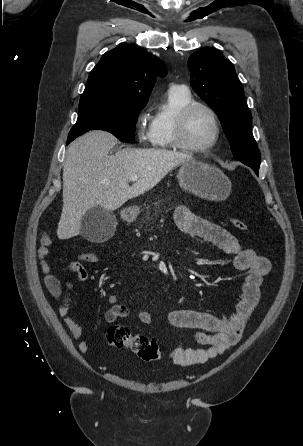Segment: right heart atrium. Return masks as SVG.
Masks as SVG:
<instances>
[{
    "label": "right heart atrium",
    "instance_id": "obj_1",
    "mask_svg": "<svg viewBox=\"0 0 303 446\" xmlns=\"http://www.w3.org/2000/svg\"><path fill=\"white\" fill-rule=\"evenodd\" d=\"M148 120V117L144 113H141L137 119L136 132L141 143H146L151 140L152 127Z\"/></svg>",
    "mask_w": 303,
    "mask_h": 446
}]
</instances>
